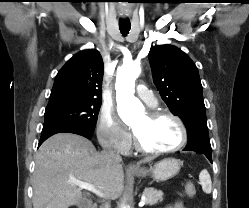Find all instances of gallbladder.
Segmentation results:
<instances>
[{"instance_id": "1", "label": "gallbladder", "mask_w": 249, "mask_h": 208, "mask_svg": "<svg viewBox=\"0 0 249 208\" xmlns=\"http://www.w3.org/2000/svg\"><path fill=\"white\" fill-rule=\"evenodd\" d=\"M88 203H89L88 200L85 199V200L80 201L77 204V206H78V208H88Z\"/></svg>"}]
</instances>
